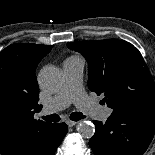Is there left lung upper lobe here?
<instances>
[{
  "instance_id": "1",
  "label": "left lung upper lobe",
  "mask_w": 155,
  "mask_h": 155,
  "mask_svg": "<svg viewBox=\"0 0 155 155\" xmlns=\"http://www.w3.org/2000/svg\"><path fill=\"white\" fill-rule=\"evenodd\" d=\"M88 62V87L113 109L112 114L155 113V84L141 53L124 40L68 43Z\"/></svg>"
}]
</instances>
